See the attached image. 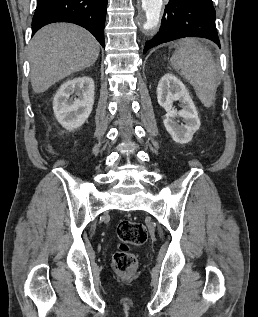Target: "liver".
I'll return each instance as SVG.
<instances>
[{
    "label": "liver",
    "instance_id": "6515ba94",
    "mask_svg": "<svg viewBox=\"0 0 258 317\" xmlns=\"http://www.w3.org/2000/svg\"><path fill=\"white\" fill-rule=\"evenodd\" d=\"M99 52V42L93 34L77 24L57 22L43 26L29 44L34 92H44L57 80L90 66Z\"/></svg>",
    "mask_w": 258,
    "mask_h": 317
}]
</instances>
